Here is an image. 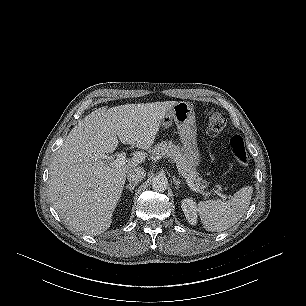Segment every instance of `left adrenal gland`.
Masks as SVG:
<instances>
[{
	"label": "left adrenal gland",
	"mask_w": 306,
	"mask_h": 306,
	"mask_svg": "<svg viewBox=\"0 0 306 306\" xmlns=\"http://www.w3.org/2000/svg\"><path fill=\"white\" fill-rule=\"evenodd\" d=\"M173 181H174V184L176 186V189L178 190L179 187H180V184H182V182L179 179H176V177H173Z\"/></svg>",
	"instance_id": "a2214340"
}]
</instances>
